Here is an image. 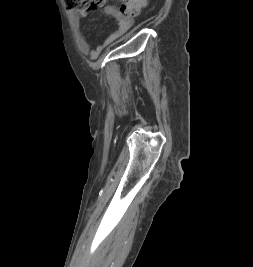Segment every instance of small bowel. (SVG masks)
<instances>
[{
	"mask_svg": "<svg viewBox=\"0 0 253 267\" xmlns=\"http://www.w3.org/2000/svg\"><path fill=\"white\" fill-rule=\"evenodd\" d=\"M106 12L109 16L113 17L117 22V28L105 39V41L95 48H91L86 38L82 34L80 26V17L75 12H70V21L76 36V42L79 50L88 55L90 59H96L103 50L120 39L132 26L133 18L119 12L115 7L109 6L106 8Z\"/></svg>",
	"mask_w": 253,
	"mask_h": 267,
	"instance_id": "c3829d8e",
	"label": "small bowel"
}]
</instances>
